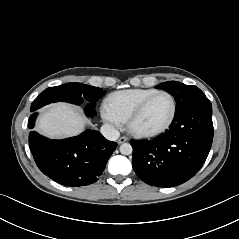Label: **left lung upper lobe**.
Instances as JSON below:
<instances>
[{"label":"left lung upper lobe","instance_id":"1","mask_svg":"<svg viewBox=\"0 0 239 239\" xmlns=\"http://www.w3.org/2000/svg\"><path fill=\"white\" fill-rule=\"evenodd\" d=\"M156 88L163 89L174 96L178 113L192 105L210 102L205 94L196 86L185 85L177 81L161 83Z\"/></svg>","mask_w":239,"mask_h":239}]
</instances>
